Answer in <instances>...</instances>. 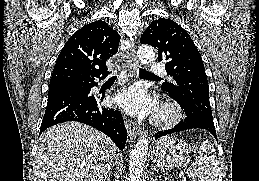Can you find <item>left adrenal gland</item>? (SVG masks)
<instances>
[{
  "label": "left adrenal gland",
  "instance_id": "1",
  "mask_svg": "<svg viewBox=\"0 0 259 181\" xmlns=\"http://www.w3.org/2000/svg\"><path fill=\"white\" fill-rule=\"evenodd\" d=\"M151 181H157V176H155L154 171L152 172V178Z\"/></svg>",
  "mask_w": 259,
  "mask_h": 181
}]
</instances>
